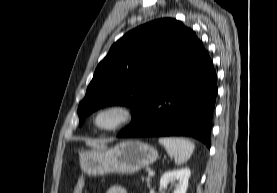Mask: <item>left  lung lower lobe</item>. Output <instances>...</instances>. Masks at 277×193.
<instances>
[{"label": "left lung lower lobe", "mask_w": 277, "mask_h": 193, "mask_svg": "<svg viewBox=\"0 0 277 193\" xmlns=\"http://www.w3.org/2000/svg\"><path fill=\"white\" fill-rule=\"evenodd\" d=\"M216 94V72L197 40L186 61L117 136H190L210 148Z\"/></svg>", "instance_id": "0a47b994"}]
</instances>
